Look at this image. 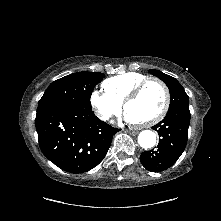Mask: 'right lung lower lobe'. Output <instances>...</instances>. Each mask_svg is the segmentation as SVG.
Masks as SVG:
<instances>
[{
    "instance_id": "1",
    "label": "right lung lower lobe",
    "mask_w": 221,
    "mask_h": 221,
    "mask_svg": "<svg viewBox=\"0 0 221 221\" xmlns=\"http://www.w3.org/2000/svg\"><path fill=\"white\" fill-rule=\"evenodd\" d=\"M39 146L52 163L71 173L96 167L105 157L112 136L120 131L99 120L92 109L63 105L36 115Z\"/></svg>"
}]
</instances>
